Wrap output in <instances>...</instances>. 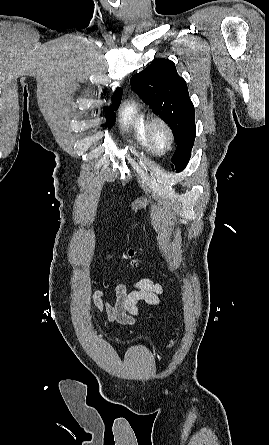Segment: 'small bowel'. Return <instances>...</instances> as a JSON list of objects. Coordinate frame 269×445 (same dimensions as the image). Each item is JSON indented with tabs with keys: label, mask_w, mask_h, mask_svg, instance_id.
<instances>
[{
	"label": "small bowel",
	"mask_w": 269,
	"mask_h": 445,
	"mask_svg": "<svg viewBox=\"0 0 269 445\" xmlns=\"http://www.w3.org/2000/svg\"><path fill=\"white\" fill-rule=\"evenodd\" d=\"M164 286L150 278H141L134 282V289L128 291L124 283H119L115 289L116 301L114 305L103 299L104 292L97 290L94 294V306L98 311L105 312L111 322L122 325H134L141 316L138 308L139 302L157 306L160 304V295Z\"/></svg>",
	"instance_id": "1"
}]
</instances>
